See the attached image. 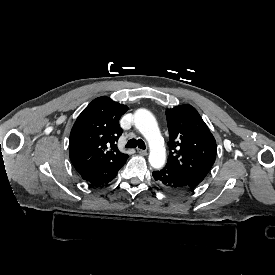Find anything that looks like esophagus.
Returning <instances> with one entry per match:
<instances>
[{
  "mask_svg": "<svg viewBox=\"0 0 275 275\" xmlns=\"http://www.w3.org/2000/svg\"><path fill=\"white\" fill-rule=\"evenodd\" d=\"M137 151H138V153H140L141 155H147V151H146V150L137 148Z\"/></svg>",
  "mask_w": 275,
  "mask_h": 275,
  "instance_id": "obj_1",
  "label": "esophagus"
}]
</instances>
